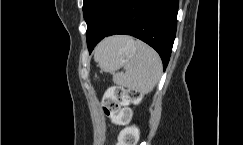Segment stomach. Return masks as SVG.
<instances>
[{
	"mask_svg": "<svg viewBox=\"0 0 243 145\" xmlns=\"http://www.w3.org/2000/svg\"><path fill=\"white\" fill-rule=\"evenodd\" d=\"M136 53L135 42L130 37L115 36L104 40L95 52V60L104 71H114L123 66Z\"/></svg>",
	"mask_w": 243,
	"mask_h": 145,
	"instance_id": "stomach-1",
	"label": "stomach"
}]
</instances>
